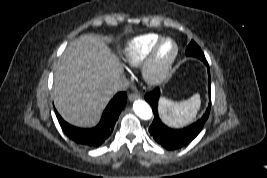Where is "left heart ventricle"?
<instances>
[{
    "instance_id": "b2bd125f",
    "label": "left heart ventricle",
    "mask_w": 267,
    "mask_h": 178,
    "mask_svg": "<svg viewBox=\"0 0 267 178\" xmlns=\"http://www.w3.org/2000/svg\"><path fill=\"white\" fill-rule=\"evenodd\" d=\"M174 45L170 41H166L160 48L157 57V66L163 65L173 54Z\"/></svg>"
}]
</instances>
